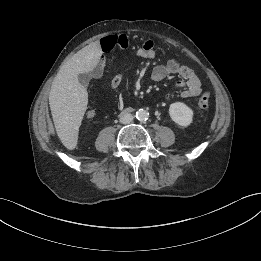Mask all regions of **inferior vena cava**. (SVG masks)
I'll return each instance as SVG.
<instances>
[{
  "label": "inferior vena cava",
  "mask_w": 261,
  "mask_h": 261,
  "mask_svg": "<svg viewBox=\"0 0 261 261\" xmlns=\"http://www.w3.org/2000/svg\"><path fill=\"white\" fill-rule=\"evenodd\" d=\"M133 118L134 117H133L132 114H130V113H123V114L120 115L119 121L122 124H128V123L132 122Z\"/></svg>",
  "instance_id": "602c4592"
}]
</instances>
